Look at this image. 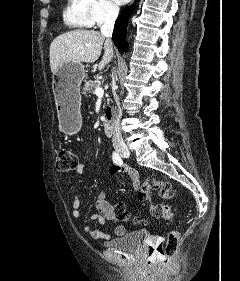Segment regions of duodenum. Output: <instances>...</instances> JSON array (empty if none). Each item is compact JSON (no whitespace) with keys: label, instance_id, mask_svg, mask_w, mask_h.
Masks as SVG:
<instances>
[{"label":"duodenum","instance_id":"410a0bca","mask_svg":"<svg viewBox=\"0 0 240 281\" xmlns=\"http://www.w3.org/2000/svg\"><path fill=\"white\" fill-rule=\"evenodd\" d=\"M103 131L107 136H112L113 134V121L110 114H106L103 122Z\"/></svg>","mask_w":240,"mask_h":281}]
</instances>
